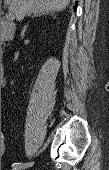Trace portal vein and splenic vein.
Segmentation results:
<instances>
[{"label": "portal vein and splenic vein", "mask_w": 109, "mask_h": 170, "mask_svg": "<svg viewBox=\"0 0 109 170\" xmlns=\"http://www.w3.org/2000/svg\"><path fill=\"white\" fill-rule=\"evenodd\" d=\"M5 2H8V1L5 0ZM6 18H7L8 20H14V14H13L11 11H9V12L6 14Z\"/></svg>", "instance_id": "1"}]
</instances>
